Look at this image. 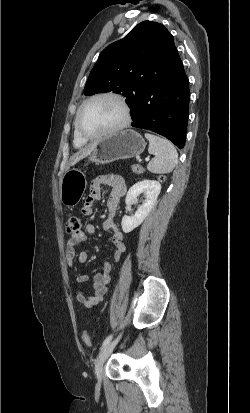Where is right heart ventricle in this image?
Returning a JSON list of instances; mask_svg holds the SVG:
<instances>
[{"label":"right heart ventricle","instance_id":"right-heart-ventricle-1","mask_svg":"<svg viewBox=\"0 0 250 413\" xmlns=\"http://www.w3.org/2000/svg\"><path fill=\"white\" fill-rule=\"evenodd\" d=\"M86 140L82 139L76 132V130L74 131V135H73V143L74 146L76 148H81L86 144Z\"/></svg>","mask_w":250,"mask_h":413}]
</instances>
